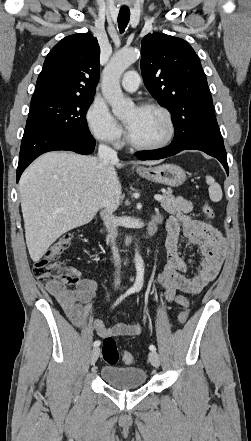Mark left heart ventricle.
<instances>
[{
  "instance_id": "left-heart-ventricle-1",
  "label": "left heart ventricle",
  "mask_w": 251,
  "mask_h": 441,
  "mask_svg": "<svg viewBox=\"0 0 251 441\" xmlns=\"http://www.w3.org/2000/svg\"><path fill=\"white\" fill-rule=\"evenodd\" d=\"M133 138L144 144H155L168 134L165 116L155 109L132 108L124 116Z\"/></svg>"
}]
</instances>
